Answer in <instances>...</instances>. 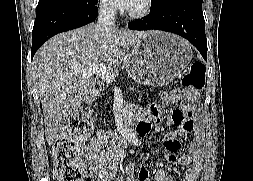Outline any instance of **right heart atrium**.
<instances>
[{"instance_id":"right-heart-atrium-1","label":"right heart atrium","mask_w":253,"mask_h":181,"mask_svg":"<svg viewBox=\"0 0 253 181\" xmlns=\"http://www.w3.org/2000/svg\"><path fill=\"white\" fill-rule=\"evenodd\" d=\"M98 5L100 11L109 16L114 15L117 10L115 0H99Z\"/></svg>"}]
</instances>
